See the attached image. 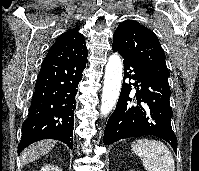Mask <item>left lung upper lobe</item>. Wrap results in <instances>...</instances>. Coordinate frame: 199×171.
I'll use <instances>...</instances> for the list:
<instances>
[{
    "instance_id": "5c2ea615",
    "label": "left lung upper lobe",
    "mask_w": 199,
    "mask_h": 171,
    "mask_svg": "<svg viewBox=\"0 0 199 171\" xmlns=\"http://www.w3.org/2000/svg\"><path fill=\"white\" fill-rule=\"evenodd\" d=\"M112 48L168 82L170 73L157 36L137 21L125 20L119 24L113 35Z\"/></svg>"
}]
</instances>
